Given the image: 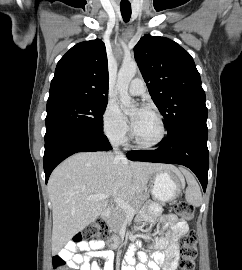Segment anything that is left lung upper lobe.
<instances>
[{"instance_id":"1","label":"left lung upper lobe","mask_w":242,"mask_h":270,"mask_svg":"<svg viewBox=\"0 0 242 270\" xmlns=\"http://www.w3.org/2000/svg\"><path fill=\"white\" fill-rule=\"evenodd\" d=\"M149 93L168 135L191 122H206L208 110L192 56L176 42L145 35L134 48Z\"/></svg>"}]
</instances>
